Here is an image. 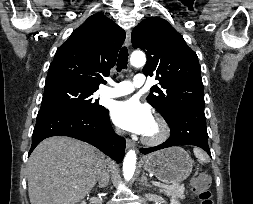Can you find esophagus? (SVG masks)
<instances>
[{"mask_svg":"<svg viewBox=\"0 0 253 204\" xmlns=\"http://www.w3.org/2000/svg\"><path fill=\"white\" fill-rule=\"evenodd\" d=\"M125 45L128 47L131 45V31L130 30H128L126 33ZM126 146H127V148L133 147L134 146L133 141L127 138L126 139Z\"/></svg>","mask_w":253,"mask_h":204,"instance_id":"1","label":"esophagus"}]
</instances>
